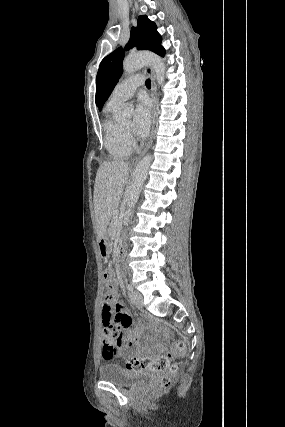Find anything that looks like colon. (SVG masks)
<instances>
[{"label": "colon", "instance_id": "obj_1", "mask_svg": "<svg viewBox=\"0 0 285 427\" xmlns=\"http://www.w3.org/2000/svg\"><path fill=\"white\" fill-rule=\"evenodd\" d=\"M102 274L103 282L106 288L104 293V302H110L114 297L113 274L109 269H105ZM103 340L104 345L102 348V356L105 360H111L115 357L122 341L120 326L116 323L114 325L104 327ZM184 352V342L176 341L171 344L165 355H162L156 359H150L146 357H129L126 360V366L131 370H148L161 374L159 384L157 385L155 391L162 392L171 386L173 376L177 371L176 366H171L170 362L175 358L183 356Z\"/></svg>", "mask_w": 285, "mask_h": 427}]
</instances>
